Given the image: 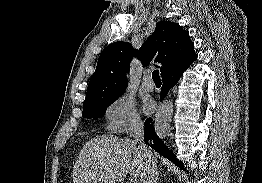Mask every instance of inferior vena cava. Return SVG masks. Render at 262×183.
Segmentation results:
<instances>
[{
	"label": "inferior vena cava",
	"mask_w": 262,
	"mask_h": 183,
	"mask_svg": "<svg viewBox=\"0 0 262 183\" xmlns=\"http://www.w3.org/2000/svg\"><path fill=\"white\" fill-rule=\"evenodd\" d=\"M144 124L140 119L134 120L129 130V136L138 142L139 154L143 160L142 172L140 175L141 183H157L158 170L156 159L152 152L143 143L144 138Z\"/></svg>",
	"instance_id": "obj_1"
}]
</instances>
